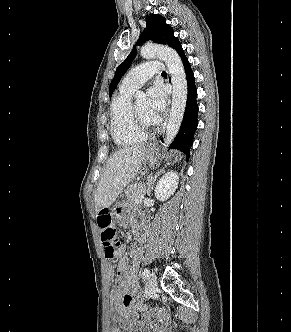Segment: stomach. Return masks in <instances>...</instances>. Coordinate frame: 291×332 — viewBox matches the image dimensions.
<instances>
[{
    "mask_svg": "<svg viewBox=\"0 0 291 332\" xmlns=\"http://www.w3.org/2000/svg\"><path fill=\"white\" fill-rule=\"evenodd\" d=\"M156 147L154 145L149 146L146 148L144 152V160L150 164H154L156 162ZM126 206L125 202H117L114 207V216L115 219L118 220L121 212L124 210Z\"/></svg>",
    "mask_w": 291,
    "mask_h": 332,
    "instance_id": "stomach-1",
    "label": "stomach"
}]
</instances>
